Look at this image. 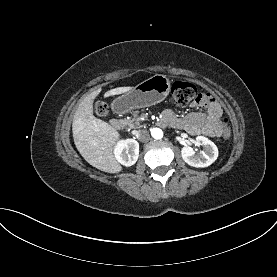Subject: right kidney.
<instances>
[{
  "label": "right kidney",
  "instance_id": "1",
  "mask_svg": "<svg viewBox=\"0 0 277 277\" xmlns=\"http://www.w3.org/2000/svg\"><path fill=\"white\" fill-rule=\"evenodd\" d=\"M115 158L124 166H132L139 157V143L134 139L120 140L114 148Z\"/></svg>",
  "mask_w": 277,
  "mask_h": 277
}]
</instances>
